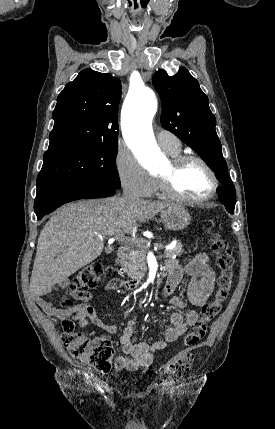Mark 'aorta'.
Masks as SVG:
<instances>
[{
	"mask_svg": "<svg viewBox=\"0 0 275 429\" xmlns=\"http://www.w3.org/2000/svg\"><path fill=\"white\" fill-rule=\"evenodd\" d=\"M157 108L154 92L145 86H139L128 94L121 115L122 133L128 147L150 172H157L162 162V154L152 128Z\"/></svg>",
	"mask_w": 275,
	"mask_h": 429,
	"instance_id": "obj_1",
	"label": "aorta"
}]
</instances>
